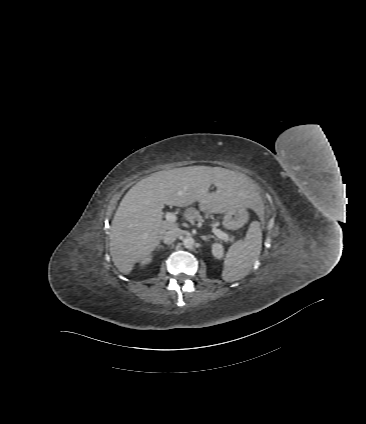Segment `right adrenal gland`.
<instances>
[{"mask_svg": "<svg viewBox=\"0 0 366 424\" xmlns=\"http://www.w3.org/2000/svg\"><path fill=\"white\" fill-rule=\"evenodd\" d=\"M157 248H158V249H160V248L164 249V246L159 244V245L157 246Z\"/></svg>", "mask_w": 366, "mask_h": 424, "instance_id": "right-adrenal-gland-1", "label": "right adrenal gland"}]
</instances>
